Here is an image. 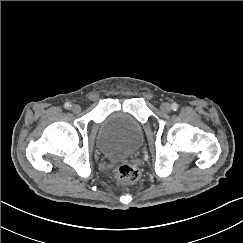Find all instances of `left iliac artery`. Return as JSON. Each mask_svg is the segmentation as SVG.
I'll list each match as a JSON object with an SVG mask.
<instances>
[{
	"label": "left iliac artery",
	"instance_id": "obj_1",
	"mask_svg": "<svg viewBox=\"0 0 243 243\" xmlns=\"http://www.w3.org/2000/svg\"><path fill=\"white\" fill-rule=\"evenodd\" d=\"M171 108H172V110L176 111L178 109V104L177 103H173L171 105Z\"/></svg>",
	"mask_w": 243,
	"mask_h": 243
}]
</instances>
